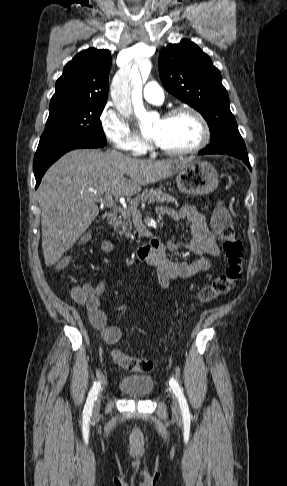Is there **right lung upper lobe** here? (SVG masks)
Wrapping results in <instances>:
<instances>
[{"instance_id": "1", "label": "right lung upper lobe", "mask_w": 287, "mask_h": 486, "mask_svg": "<svg viewBox=\"0 0 287 486\" xmlns=\"http://www.w3.org/2000/svg\"><path fill=\"white\" fill-rule=\"evenodd\" d=\"M110 68L109 50L89 48L78 53L57 80L50 107L85 100L107 101Z\"/></svg>"}]
</instances>
